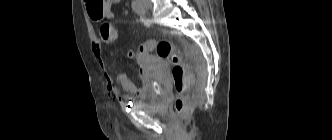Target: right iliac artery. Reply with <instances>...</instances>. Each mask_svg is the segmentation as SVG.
Instances as JSON below:
<instances>
[{
  "mask_svg": "<svg viewBox=\"0 0 332 140\" xmlns=\"http://www.w3.org/2000/svg\"><path fill=\"white\" fill-rule=\"evenodd\" d=\"M132 9L134 12H136L139 15H143L145 12L144 7L140 4L138 0H134L132 2Z\"/></svg>",
  "mask_w": 332,
  "mask_h": 140,
  "instance_id": "82829eb1",
  "label": "right iliac artery"
}]
</instances>
